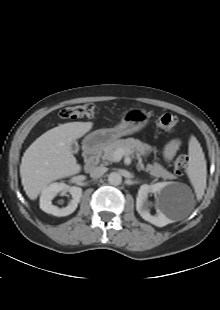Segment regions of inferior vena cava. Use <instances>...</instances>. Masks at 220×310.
Here are the masks:
<instances>
[{
  "mask_svg": "<svg viewBox=\"0 0 220 310\" xmlns=\"http://www.w3.org/2000/svg\"><path fill=\"white\" fill-rule=\"evenodd\" d=\"M107 171V168L106 167H103V166H99V167H96L95 169H93L90 173V176L92 178H99L101 177L105 172Z\"/></svg>",
  "mask_w": 220,
  "mask_h": 310,
  "instance_id": "1",
  "label": "inferior vena cava"
}]
</instances>
